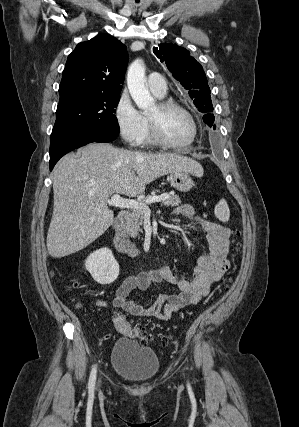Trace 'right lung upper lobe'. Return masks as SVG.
<instances>
[{
  "mask_svg": "<svg viewBox=\"0 0 299 427\" xmlns=\"http://www.w3.org/2000/svg\"><path fill=\"white\" fill-rule=\"evenodd\" d=\"M127 62L126 46L109 35L79 43L67 58L60 99L87 92L120 93Z\"/></svg>",
  "mask_w": 299,
  "mask_h": 427,
  "instance_id": "obj_1",
  "label": "right lung upper lobe"
}]
</instances>
